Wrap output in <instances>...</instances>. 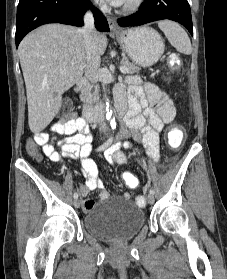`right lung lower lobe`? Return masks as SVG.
<instances>
[{
    "label": "right lung lower lobe",
    "instance_id": "obj_1",
    "mask_svg": "<svg viewBox=\"0 0 227 279\" xmlns=\"http://www.w3.org/2000/svg\"><path fill=\"white\" fill-rule=\"evenodd\" d=\"M91 8L97 30L109 31L106 18L89 0H20L17 8L16 46L36 27L47 23L83 25V15Z\"/></svg>",
    "mask_w": 227,
    "mask_h": 279
}]
</instances>
